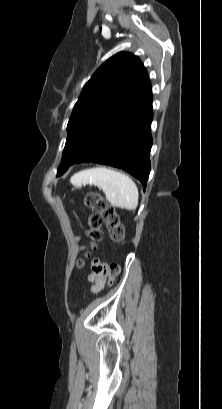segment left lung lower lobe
<instances>
[{
	"label": "left lung lower lobe",
	"instance_id": "1",
	"mask_svg": "<svg viewBox=\"0 0 222 409\" xmlns=\"http://www.w3.org/2000/svg\"><path fill=\"white\" fill-rule=\"evenodd\" d=\"M152 118V99L128 100L72 164L95 162L123 169L139 179L145 189L150 172Z\"/></svg>",
	"mask_w": 222,
	"mask_h": 409
}]
</instances>
